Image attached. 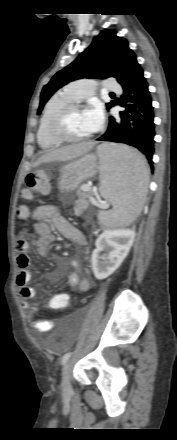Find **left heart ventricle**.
<instances>
[{
  "label": "left heart ventricle",
  "instance_id": "b2bd125f",
  "mask_svg": "<svg viewBox=\"0 0 177 440\" xmlns=\"http://www.w3.org/2000/svg\"><path fill=\"white\" fill-rule=\"evenodd\" d=\"M64 129L73 138L85 137L91 133L83 110L71 112L66 118Z\"/></svg>",
  "mask_w": 177,
  "mask_h": 440
}]
</instances>
